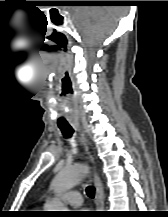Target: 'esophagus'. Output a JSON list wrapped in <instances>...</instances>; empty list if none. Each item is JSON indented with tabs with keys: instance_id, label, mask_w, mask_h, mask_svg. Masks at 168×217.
I'll return each mask as SVG.
<instances>
[{
	"instance_id": "esophagus-1",
	"label": "esophagus",
	"mask_w": 168,
	"mask_h": 217,
	"mask_svg": "<svg viewBox=\"0 0 168 217\" xmlns=\"http://www.w3.org/2000/svg\"><path fill=\"white\" fill-rule=\"evenodd\" d=\"M82 139H83V144L85 148L88 150L85 135L83 133H82ZM88 155H89L90 160L94 162V157L89 152H88ZM94 184L96 188V194H95L96 208L101 210L104 207V191H103L101 180L97 173H95V176H94Z\"/></svg>"
}]
</instances>
